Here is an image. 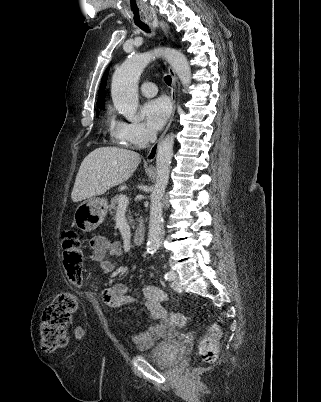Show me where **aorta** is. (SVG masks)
Segmentation results:
<instances>
[{
	"mask_svg": "<svg viewBox=\"0 0 321 402\" xmlns=\"http://www.w3.org/2000/svg\"><path fill=\"white\" fill-rule=\"evenodd\" d=\"M164 57L179 77L183 86L191 83V68L185 55L171 48H156L146 53L131 54L116 69L111 86L115 108L129 120L138 118V81L145 67L155 58ZM174 134H168L158 146L156 182L150 194V217L147 252L154 254L161 243L163 225L162 198L168 184L173 156Z\"/></svg>",
	"mask_w": 321,
	"mask_h": 402,
	"instance_id": "obj_1",
	"label": "aorta"
}]
</instances>
